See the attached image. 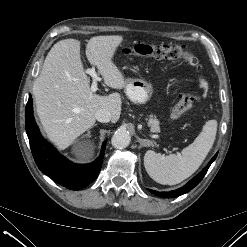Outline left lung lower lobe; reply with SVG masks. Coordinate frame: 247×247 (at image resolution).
Segmentation results:
<instances>
[{"instance_id": "left-lung-lower-lobe-1", "label": "left lung lower lobe", "mask_w": 247, "mask_h": 247, "mask_svg": "<svg viewBox=\"0 0 247 247\" xmlns=\"http://www.w3.org/2000/svg\"><path fill=\"white\" fill-rule=\"evenodd\" d=\"M218 154V153H217ZM217 154L211 159V161L208 163V165L203 169L202 172H200L197 176H195L193 179H191L186 185L183 187L169 192H158L155 190L149 189V191L157 196L163 197V198H175L180 195H183L190 190H192L195 186L199 184V182L203 179L205 174L207 173V170L209 169L211 163L216 159Z\"/></svg>"}]
</instances>
